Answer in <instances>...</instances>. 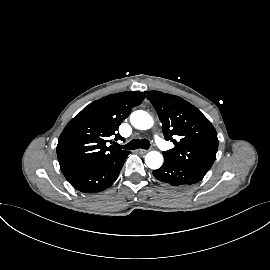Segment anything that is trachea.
<instances>
[{"label": "trachea", "mask_w": 270, "mask_h": 270, "mask_svg": "<svg viewBox=\"0 0 270 270\" xmlns=\"http://www.w3.org/2000/svg\"><path fill=\"white\" fill-rule=\"evenodd\" d=\"M150 142L147 139H133L124 146L119 145L117 148H123L126 150H135L138 148L149 149Z\"/></svg>", "instance_id": "trachea-1"}]
</instances>
